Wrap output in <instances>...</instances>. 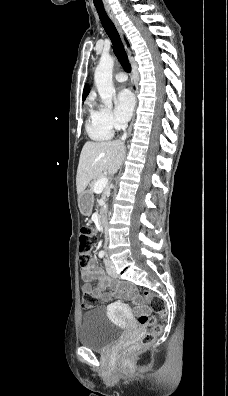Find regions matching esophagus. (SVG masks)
<instances>
[{
    "instance_id": "1",
    "label": "esophagus",
    "mask_w": 228,
    "mask_h": 396,
    "mask_svg": "<svg viewBox=\"0 0 228 396\" xmlns=\"http://www.w3.org/2000/svg\"><path fill=\"white\" fill-rule=\"evenodd\" d=\"M106 11H107V13H108L110 19H111L112 22L114 23L115 27L117 28V30H118L120 36L123 37L122 28H121V26H120L118 20L116 19L115 15H114V13H113V11H112V9H111L110 7H106ZM124 45H125V49H126V52H127L128 56H130V55H131V51L129 50V48L127 47V45H126L125 43H124ZM136 107H137V100H136ZM134 121H135V113H134L133 118H132V121H131V123H130V125H129L128 133L131 132Z\"/></svg>"
}]
</instances>
